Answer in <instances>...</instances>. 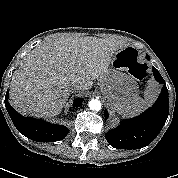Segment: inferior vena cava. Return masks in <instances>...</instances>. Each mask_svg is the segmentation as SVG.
I'll use <instances>...</instances> for the list:
<instances>
[{
	"mask_svg": "<svg viewBox=\"0 0 178 178\" xmlns=\"http://www.w3.org/2000/svg\"><path fill=\"white\" fill-rule=\"evenodd\" d=\"M72 87H73L74 91L77 90V89H79V85L76 82L72 83Z\"/></svg>",
	"mask_w": 178,
	"mask_h": 178,
	"instance_id": "inferior-vena-cava-1",
	"label": "inferior vena cava"
}]
</instances>
